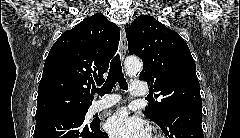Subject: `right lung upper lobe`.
<instances>
[{
    "mask_svg": "<svg viewBox=\"0 0 240 138\" xmlns=\"http://www.w3.org/2000/svg\"><path fill=\"white\" fill-rule=\"evenodd\" d=\"M119 38L118 27L100 13L64 32L46 58L36 115L90 107L93 95L89 89L104 82Z\"/></svg>",
    "mask_w": 240,
    "mask_h": 138,
    "instance_id": "cb5924a9",
    "label": "right lung upper lobe"
}]
</instances>
